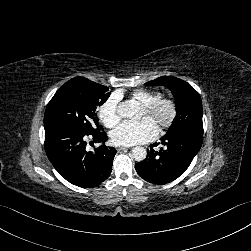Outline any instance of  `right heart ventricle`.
I'll return each mask as SVG.
<instances>
[{"label":"right heart ventricle","mask_w":251,"mask_h":251,"mask_svg":"<svg viewBox=\"0 0 251 251\" xmlns=\"http://www.w3.org/2000/svg\"><path fill=\"white\" fill-rule=\"evenodd\" d=\"M161 96V92L150 89H137L131 93V99L140 106L149 105Z\"/></svg>","instance_id":"1"}]
</instances>
